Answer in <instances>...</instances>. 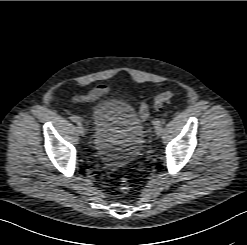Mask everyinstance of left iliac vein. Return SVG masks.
Instances as JSON below:
<instances>
[{"mask_svg":"<svg viewBox=\"0 0 247 245\" xmlns=\"http://www.w3.org/2000/svg\"><path fill=\"white\" fill-rule=\"evenodd\" d=\"M155 132H156V135L157 136H161V134H162V127L161 126H158V127L155 126Z\"/></svg>","mask_w":247,"mask_h":245,"instance_id":"obj_1","label":"left iliac vein"}]
</instances>
